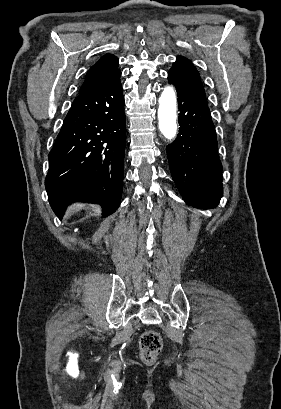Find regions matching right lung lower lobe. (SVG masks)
Returning a JSON list of instances; mask_svg holds the SVG:
<instances>
[{
  "mask_svg": "<svg viewBox=\"0 0 281 409\" xmlns=\"http://www.w3.org/2000/svg\"><path fill=\"white\" fill-rule=\"evenodd\" d=\"M120 75L75 98L49 153L45 185L60 219L74 201L100 204L103 217L120 204L126 142Z\"/></svg>",
  "mask_w": 281,
  "mask_h": 409,
  "instance_id": "obj_1",
  "label": "right lung lower lobe"
}]
</instances>
